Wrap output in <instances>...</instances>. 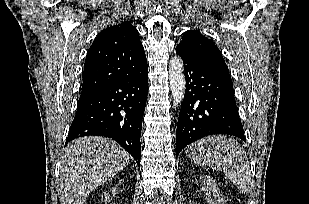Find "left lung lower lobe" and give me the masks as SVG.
Segmentation results:
<instances>
[{
    "label": "left lung lower lobe",
    "mask_w": 309,
    "mask_h": 204,
    "mask_svg": "<svg viewBox=\"0 0 309 204\" xmlns=\"http://www.w3.org/2000/svg\"><path fill=\"white\" fill-rule=\"evenodd\" d=\"M186 90L176 131V157L187 145L208 135H233L245 141L229 73L178 52Z\"/></svg>",
    "instance_id": "0a47b994"
}]
</instances>
